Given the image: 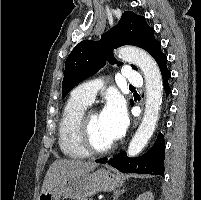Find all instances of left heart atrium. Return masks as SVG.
<instances>
[{
  "label": "left heart atrium",
  "mask_w": 201,
  "mask_h": 200,
  "mask_svg": "<svg viewBox=\"0 0 201 200\" xmlns=\"http://www.w3.org/2000/svg\"><path fill=\"white\" fill-rule=\"evenodd\" d=\"M101 117L113 141L120 139L124 135L128 125V118L121 101L110 100L103 109Z\"/></svg>",
  "instance_id": "1"
}]
</instances>
